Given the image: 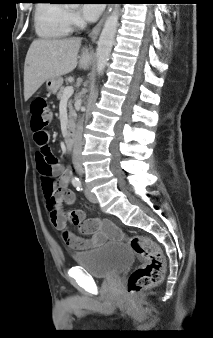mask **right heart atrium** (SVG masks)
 I'll return each mask as SVG.
<instances>
[{
	"instance_id": "obj_1",
	"label": "right heart atrium",
	"mask_w": 213,
	"mask_h": 338,
	"mask_svg": "<svg viewBox=\"0 0 213 338\" xmlns=\"http://www.w3.org/2000/svg\"><path fill=\"white\" fill-rule=\"evenodd\" d=\"M64 20L69 27H80L83 25V19L76 11L66 10Z\"/></svg>"
}]
</instances>
